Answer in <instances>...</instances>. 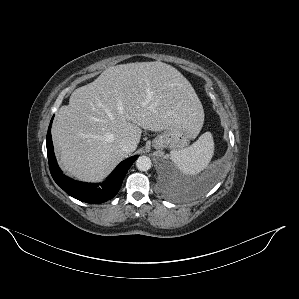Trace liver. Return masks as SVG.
<instances>
[{"label": "liver", "mask_w": 299, "mask_h": 299, "mask_svg": "<svg viewBox=\"0 0 299 299\" xmlns=\"http://www.w3.org/2000/svg\"><path fill=\"white\" fill-rule=\"evenodd\" d=\"M204 122L202 104L190 82L159 62L111 66L74 90L52 126L60 167L81 181L106 177L128 156L120 141L137 144L141 129L160 132L184 124L196 137Z\"/></svg>", "instance_id": "6515ba94"}]
</instances>
